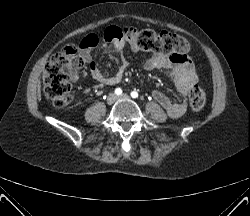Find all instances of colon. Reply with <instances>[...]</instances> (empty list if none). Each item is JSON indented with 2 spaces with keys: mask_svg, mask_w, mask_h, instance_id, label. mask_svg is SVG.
<instances>
[{
  "mask_svg": "<svg viewBox=\"0 0 250 216\" xmlns=\"http://www.w3.org/2000/svg\"><path fill=\"white\" fill-rule=\"evenodd\" d=\"M104 39L109 42L123 39L140 50L162 55H185L189 51V43L183 36L168 31L109 27L104 32ZM83 64V59L73 46H68L51 57L45 67L43 84L45 95L54 106L65 107L70 103L71 80ZM189 102L195 112L202 110L205 105V93L197 84L190 88Z\"/></svg>",
  "mask_w": 250,
  "mask_h": 216,
  "instance_id": "obj_1",
  "label": "colon"
}]
</instances>
